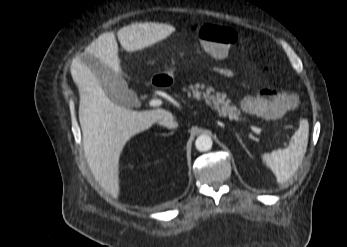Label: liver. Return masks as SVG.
I'll return each instance as SVG.
<instances>
[{
  "label": "liver",
  "mask_w": 347,
  "mask_h": 247,
  "mask_svg": "<svg viewBox=\"0 0 347 247\" xmlns=\"http://www.w3.org/2000/svg\"><path fill=\"white\" fill-rule=\"evenodd\" d=\"M173 27L162 23L131 24L117 32L121 46L129 52L143 49L164 38ZM92 55L113 71L120 73L118 44L113 32L95 39L76 56L70 72L80 92L79 122L87 162L100 185L114 197L119 196V158L127 141L149 129L164 109L134 111L110 100L82 57Z\"/></svg>",
  "instance_id": "6515ba94"
}]
</instances>
